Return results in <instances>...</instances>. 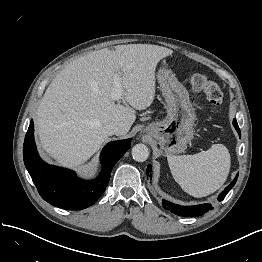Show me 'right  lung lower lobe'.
<instances>
[{
  "mask_svg": "<svg viewBox=\"0 0 262 262\" xmlns=\"http://www.w3.org/2000/svg\"><path fill=\"white\" fill-rule=\"evenodd\" d=\"M31 121L23 145L25 166L41 197L48 203L67 210L91 206L103 194L116 162L130 148L131 139L108 143L100 156L102 171L91 181L79 179L71 170L48 165L38 155Z\"/></svg>",
  "mask_w": 262,
  "mask_h": 262,
  "instance_id": "right-lung-lower-lobe-1",
  "label": "right lung lower lobe"
}]
</instances>
